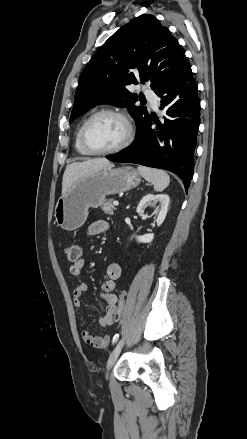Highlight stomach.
<instances>
[{"label": "stomach", "instance_id": "0dacf381", "mask_svg": "<svg viewBox=\"0 0 247 439\" xmlns=\"http://www.w3.org/2000/svg\"><path fill=\"white\" fill-rule=\"evenodd\" d=\"M140 174L130 166L105 167L77 180L55 206V221L67 231L81 227L88 209L97 208L107 195L125 192L139 185Z\"/></svg>", "mask_w": 247, "mask_h": 439}]
</instances>
